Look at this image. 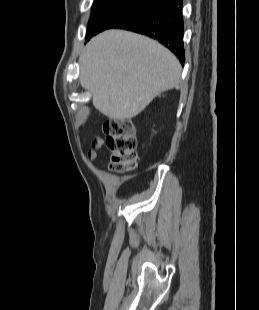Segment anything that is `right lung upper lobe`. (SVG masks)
Segmentation results:
<instances>
[{
    "mask_svg": "<svg viewBox=\"0 0 259 310\" xmlns=\"http://www.w3.org/2000/svg\"><path fill=\"white\" fill-rule=\"evenodd\" d=\"M106 1H109V0H94L93 6L101 4V3L106 2Z\"/></svg>",
    "mask_w": 259,
    "mask_h": 310,
    "instance_id": "right-lung-upper-lobe-1",
    "label": "right lung upper lobe"
}]
</instances>
